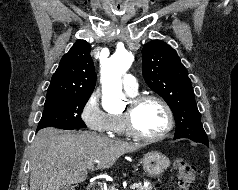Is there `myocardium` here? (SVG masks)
<instances>
[{
    "instance_id": "obj_1",
    "label": "myocardium",
    "mask_w": 238,
    "mask_h": 190,
    "mask_svg": "<svg viewBox=\"0 0 238 190\" xmlns=\"http://www.w3.org/2000/svg\"><path fill=\"white\" fill-rule=\"evenodd\" d=\"M153 100L158 102L164 109L167 116V126L163 132L155 136H149L141 133L134 122V114L136 109L145 101ZM122 119L125 125L126 132L133 138L145 141L156 142L165 139L174 127V114L169 104L160 96L155 94H139L131 97L128 102V108L122 113Z\"/></svg>"
}]
</instances>
